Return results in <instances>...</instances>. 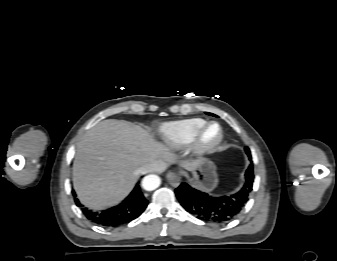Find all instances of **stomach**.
Wrapping results in <instances>:
<instances>
[{
  "label": "stomach",
  "instance_id": "0dacf381",
  "mask_svg": "<svg viewBox=\"0 0 337 261\" xmlns=\"http://www.w3.org/2000/svg\"><path fill=\"white\" fill-rule=\"evenodd\" d=\"M192 182L196 188L212 191L218 183L216 166L207 158L198 160L196 168L192 171Z\"/></svg>",
  "mask_w": 337,
  "mask_h": 261
}]
</instances>
